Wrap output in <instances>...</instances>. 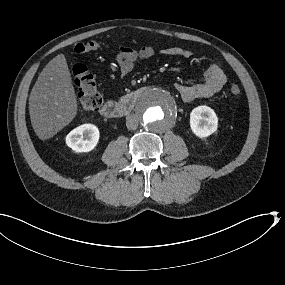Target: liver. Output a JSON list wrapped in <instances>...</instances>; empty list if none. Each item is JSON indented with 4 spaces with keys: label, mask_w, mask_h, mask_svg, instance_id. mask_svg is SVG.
I'll list each match as a JSON object with an SVG mask.
<instances>
[{
    "label": "liver",
    "mask_w": 285,
    "mask_h": 285,
    "mask_svg": "<svg viewBox=\"0 0 285 285\" xmlns=\"http://www.w3.org/2000/svg\"><path fill=\"white\" fill-rule=\"evenodd\" d=\"M78 102L64 54L51 59L38 76L29 96V114L37 137L49 140L77 115Z\"/></svg>",
    "instance_id": "1"
}]
</instances>
